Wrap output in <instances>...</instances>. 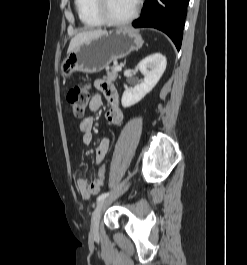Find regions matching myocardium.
<instances>
[{"label":"myocardium","instance_id":"obj_1","mask_svg":"<svg viewBox=\"0 0 247 265\" xmlns=\"http://www.w3.org/2000/svg\"><path fill=\"white\" fill-rule=\"evenodd\" d=\"M141 6L142 0H137L134 10L128 17L124 19H116L109 13L108 0H95L94 2L96 13L101 18V20L107 25L116 27L125 26L132 23L138 17Z\"/></svg>","mask_w":247,"mask_h":265}]
</instances>
